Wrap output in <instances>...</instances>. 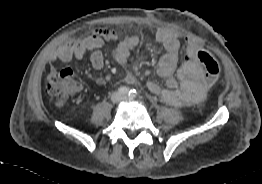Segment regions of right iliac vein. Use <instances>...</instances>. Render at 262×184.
I'll use <instances>...</instances> for the list:
<instances>
[{
	"mask_svg": "<svg viewBox=\"0 0 262 184\" xmlns=\"http://www.w3.org/2000/svg\"><path fill=\"white\" fill-rule=\"evenodd\" d=\"M112 99L114 102H120L122 100V96L120 93H114V95L112 96Z\"/></svg>",
	"mask_w": 262,
	"mask_h": 184,
	"instance_id": "obj_1",
	"label": "right iliac vein"
}]
</instances>
